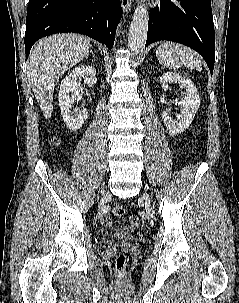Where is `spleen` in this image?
Wrapping results in <instances>:
<instances>
[{
    "instance_id": "3e777b00",
    "label": "spleen",
    "mask_w": 239,
    "mask_h": 303,
    "mask_svg": "<svg viewBox=\"0 0 239 303\" xmlns=\"http://www.w3.org/2000/svg\"><path fill=\"white\" fill-rule=\"evenodd\" d=\"M159 62L168 69H178L182 65L201 70L202 61L191 48L174 42H164L156 49Z\"/></svg>"
}]
</instances>
